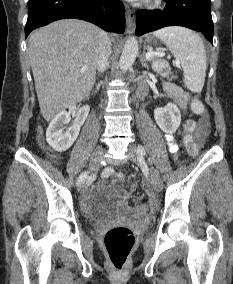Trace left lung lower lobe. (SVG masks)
Listing matches in <instances>:
<instances>
[{
  "mask_svg": "<svg viewBox=\"0 0 233 284\" xmlns=\"http://www.w3.org/2000/svg\"><path fill=\"white\" fill-rule=\"evenodd\" d=\"M136 21L137 35L178 25L202 32L213 43L210 0H167L163 10L139 11Z\"/></svg>",
  "mask_w": 233,
  "mask_h": 284,
  "instance_id": "left-lung-lower-lobe-1",
  "label": "left lung lower lobe"
}]
</instances>
